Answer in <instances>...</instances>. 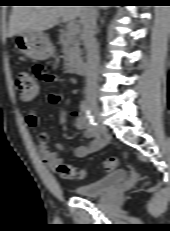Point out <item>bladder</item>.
I'll return each mask as SVG.
<instances>
[{
  "instance_id": "bladder-1",
  "label": "bladder",
  "mask_w": 170,
  "mask_h": 231,
  "mask_svg": "<svg viewBox=\"0 0 170 231\" xmlns=\"http://www.w3.org/2000/svg\"><path fill=\"white\" fill-rule=\"evenodd\" d=\"M127 179V172L123 169L115 170L103 178L79 185L74 189L78 196L82 197H97L106 194L114 188L123 184Z\"/></svg>"
}]
</instances>
